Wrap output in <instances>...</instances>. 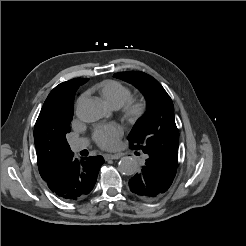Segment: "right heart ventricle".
<instances>
[{"label":"right heart ventricle","mask_w":246,"mask_h":246,"mask_svg":"<svg viewBox=\"0 0 246 246\" xmlns=\"http://www.w3.org/2000/svg\"><path fill=\"white\" fill-rule=\"evenodd\" d=\"M98 91L103 100L113 108L121 107L131 98V90L117 80H105L98 85Z\"/></svg>","instance_id":"right-heart-ventricle-1"}]
</instances>
